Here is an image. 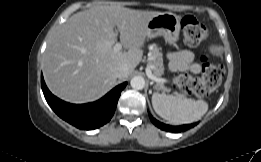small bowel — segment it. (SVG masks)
<instances>
[{
  "label": "small bowel",
  "instance_id": "obj_1",
  "mask_svg": "<svg viewBox=\"0 0 261 162\" xmlns=\"http://www.w3.org/2000/svg\"><path fill=\"white\" fill-rule=\"evenodd\" d=\"M210 50L214 54L219 52L215 46H211ZM169 67L173 71L189 70L194 74H198L202 70V66L196 61L194 53L187 50L171 52L169 54Z\"/></svg>",
  "mask_w": 261,
  "mask_h": 162
}]
</instances>
